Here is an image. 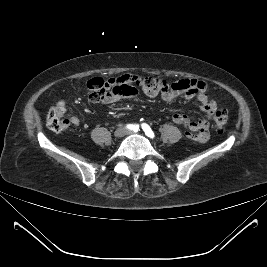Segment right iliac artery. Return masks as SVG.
Listing matches in <instances>:
<instances>
[{"label": "right iliac artery", "mask_w": 267, "mask_h": 267, "mask_svg": "<svg viewBox=\"0 0 267 267\" xmlns=\"http://www.w3.org/2000/svg\"><path fill=\"white\" fill-rule=\"evenodd\" d=\"M127 127H128L129 129L135 131V132L138 131V129H139V126L136 125V124L128 125Z\"/></svg>", "instance_id": "82829eb1"}]
</instances>
